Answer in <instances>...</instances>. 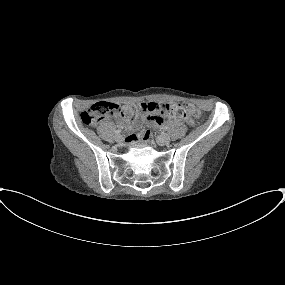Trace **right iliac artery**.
Wrapping results in <instances>:
<instances>
[{
	"instance_id": "82829eb1",
	"label": "right iliac artery",
	"mask_w": 285,
	"mask_h": 285,
	"mask_svg": "<svg viewBox=\"0 0 285 285\" xmlns=\"http://www.w3.org/2000/svg\"><path fill=\"white\" fill-rule=\"evenodd\" d=\"M121 133V130H116V134L119 135Z\"/></svg>"
}]
</instances>
